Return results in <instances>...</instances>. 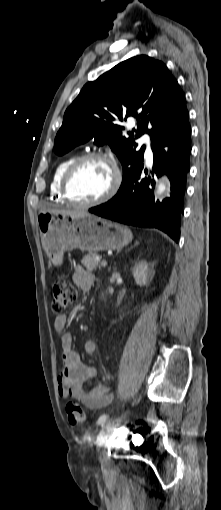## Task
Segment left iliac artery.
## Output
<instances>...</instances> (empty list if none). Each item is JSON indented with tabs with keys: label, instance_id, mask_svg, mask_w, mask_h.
<instances>
[{
	"label": "left iliac artery",
	"instance_id": "1",
	"mask_svg": "<svg viewBox=\"0 0 221 510\" xmlns=\"http://www.w3.org/2000/svg\"><path fill=\"white\" fill-rule=\"evenodd\" d=\"M137 402H139V400ZM107 419H108V415H106V414L101 415L98 419V424L103 425Z\"/></svg>",
	"mask_w": 221,
	"mask_h": 510
}]
</instances>
